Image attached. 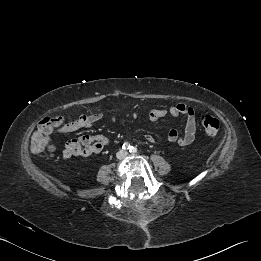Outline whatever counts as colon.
Wrapping results in <instances>:
<instances>
[{
	"label": "colon",
	"instance_id": "obj_1",
	"mask_svg": "<svg viewBox=\"0 0 261 261\" xmlns=\"http://www.w3.org/2000/svg\"><path fill=\"white\" fill-rule=\"evenodd\" d=\"M61 122L57 116L45 117L34 131L30 146L34 153H41L51 139L54 128ZM201 125L205 133L209 136H215L219 130V121L210 114L200 116Z\"/></svg>",
	"mask_w": 261,
	"mask_h": 261
}]
</instances>
